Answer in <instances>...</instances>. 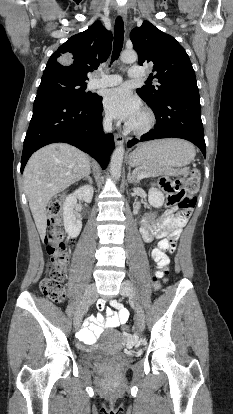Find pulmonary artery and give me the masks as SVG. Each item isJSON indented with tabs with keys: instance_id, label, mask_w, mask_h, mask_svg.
Returning <instances> with one entry per match:
<instances>
[{
	"instance_id": "e3ab8cb5",
	"label": "pulmonary artery",
	"mask_w": 233,
	"mask_h": 414,
	"mask_svg": "<svg viewBox=\"0 0 233 414\" xmlns=\"http://www.w3.org/2000/svg\"><path fill=\"white\" fill-rule=\"evenodd\" d=\"M128 75L130 78L139 79L146 76V73L137 66H133L129 69ZM122 82V77L117 74L107 75L104 73L99 74V78L94 79L91 82L92 88H100V87H112L119 85Z\"/></svg>"
}]
</instances>
